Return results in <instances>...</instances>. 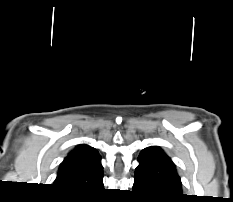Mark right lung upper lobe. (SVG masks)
<instances>
[{
	"instance_id": "right-lung-upper-lobe-1",
	"label": "right lung upper lobe",
	"mask_w": 233,
	"mask_h": 202,
	"mask_svg": "<svg viewBox=\"0 0 233 202\" xmlns=\"http://www.w3.org/2000/svg\"><path fill=\"white\" fill-rule=\"evenodd\" d=\"M101 156L86 144L78 145L61 163L54 187L74 195H89L103 187Z\"/></svg>"
}]
</instances>
